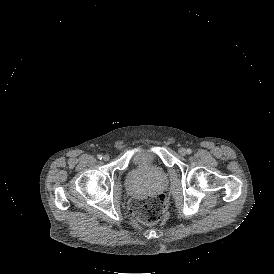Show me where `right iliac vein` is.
I'll list each match as a JSON object with an SVG mask.
<instances>
[{
	"label": "right iliac vein",
	"mask_w": 274,
	"mask_h": 274,
	"mask_svg": "<svg viewBox=\"0 0 274 274\" xmlns=\"http://www.w3.org/2000/svg\"><path fill=\"white\" fill-rule=\"evenodd\" d=\"M103 161L107 162L109 161L110 159V156L108 154H105L103 157H102Z\"/></svg>",
	"instance_id": "1"
}]
</instances>
